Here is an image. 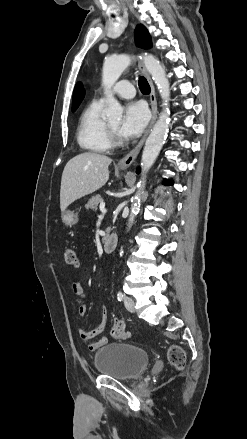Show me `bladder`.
<instances>
[{
	"label": "bladder",
	"mask_w": 247,
	"mask_h": 439,
	"mask_svg": "<svg viewBox=\"0 0 247 439\" xmlns=\"http://www.w3.org/2000/svg\"><path fill=\"white\" fill-rule=\"evenodd\" d=\"M149 354L142 348L113 343L95 353L94 366L98 373L119 380L139 377L149 365Z\"/></svg>",
	"instance_id": "bladder-1"
}]
</instances>
